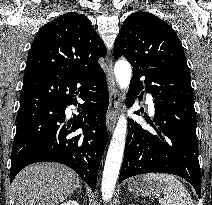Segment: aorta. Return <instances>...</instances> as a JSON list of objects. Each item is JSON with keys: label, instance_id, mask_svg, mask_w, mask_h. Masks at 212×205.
I'll return each instance as SVG.
<instances>
[{"label": "aorta", "instance_id": "1", "mask_svg": "<svg viewBox=\"0 0 212 205\" xmlns=\"http://www.w3.org/2000/svg\"><path fill=\"white\" fill-rule=\"evenodd\" d=\"M116 81L124 95L126 94L132 77V68L129 62L119 60L114 66ZM126 108V106H123ZM127 134V119L122 114L117 122L110 145L108 148L106 161L103 170L101 193L103 201L107 202L112 198L118 179L119 171L124 154Z\"/></svg>", "mask_w": 212, "mask_h": 205}]
</instances>
